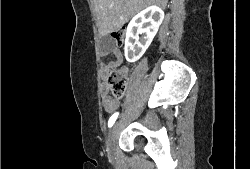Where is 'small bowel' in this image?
<instances>
[{"instance_id": "obj_1", "label": "small bowel", "mask_w": 250, "mask_h": 169, "mask_svg": "<svg viewBox=\"0 0 250 169\" xmlns=\"http://www.w3.org/2000/svg\"><path fill=\"white\" fill-rule=\"evenodd\" d=\"M111 53L115 57L112 62L106 63L103 66V75L106 76L111 69L116 67L122 62V55L119 49L113 48L111 50ZM109 86L107 83H104L102 86V101H103V107L106 112H113L115 111L119 106V100L116 98H113L109 93Z\"/></svg>"}]
</instances>
